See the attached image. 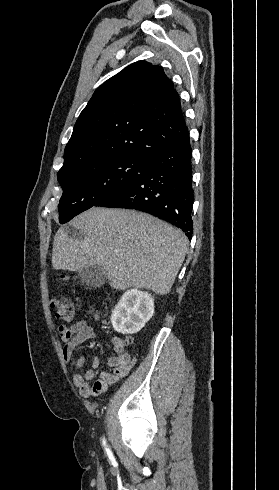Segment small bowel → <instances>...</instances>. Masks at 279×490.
I'll return each instance as SVG.
<instances>
[{"mask_svg": "<svg viewBox=\"0 0 279 490\" xmlns=\"http://www.w3.org/2000/svg\"><path fill=\"white\" fill-rule=\"evenodd\" d=\"M55 329L58 337L64 343L63 356L65 362L67 364L74 363L73 383L83 397L98 396L104 393L110 385L126 376L136 362L135 356L125 348L124 342L115 337L112 343L116 355L108 359L111 370L102 372L100 379L94 380L95 369L100 364L99 357L93 358L92 369L81 374L80 370L85 363V356L80 355L74 361V351L85 341L96 337L95 329L84 320L76 322L71 327L56 325Z\"/></svg>", "mask_w": 279, "mask_h": 490, "instance_id": "1", "label": "small bowel"}]
</instances>
